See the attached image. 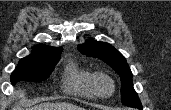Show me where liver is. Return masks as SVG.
I'll list each match as a JSON object with an SVG mask.
<instances>
[{
    "label": "liver",
    "mask_w": 171,
    "mask_h": 110,
    "mask_svg": "<svg viewBox=\"0 0 171 110\" xmlns=\"http://www.w3.org/2000/svg\"><path fill=\"white\" fill-rule=\"evenodd\" d=\"M13 110H22V109L20 107H14ZM29 110H84V109L70 103H42L32 107Z\"/></svg>",
    "instance_id": "1"
}]
</instances>
